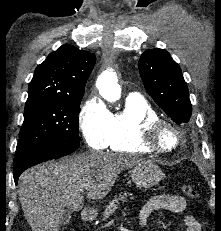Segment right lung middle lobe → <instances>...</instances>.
Listing matches in <instances>:
<instances>
[{
  "label": "right lung middle lobe",
  "mask_w": 221,
  "mask_h": 231,
  "mask_svg": "<svg viewBox=\"0 0 221 231\" xmlns=\"http://www.w3.org/2000/svg\"><path fill=\"white\" fill-rule=\"evenodd\" d=\"M81 99L26 103L15 160L40 147H79L78 115Z\"/></svg>",
  "instance_id": "1"
}]
</instances>
